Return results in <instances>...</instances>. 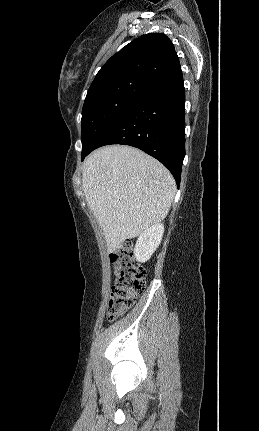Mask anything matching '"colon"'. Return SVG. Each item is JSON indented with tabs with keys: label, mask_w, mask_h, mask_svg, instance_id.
<instances>
[{
	"label": "colon",
	"mask_w": 259,
	"mask_h": 431,
	"mask_svg": "<svg viewBox=\"0 0 259 431\" xmlns=\"http://www.w3.org/2000/svg\"><path fill=\"white\" fill-rule=\"evenodd\" d=\"M114 282L108 301L107 316L115 320L132 307L146 286V271L135 260L131 241L123 242L110 256Z\"/></svg>",
	"instance_id": "1"
}]
</instances>
